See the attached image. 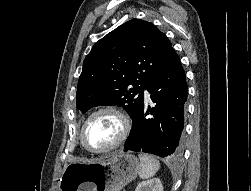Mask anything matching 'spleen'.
I'll return each instance as SVG.
<instances>
[{"label": "spleen", "instance_id": "spleen-1", "mask_svg": "<svg viewBox=\"0 0 251 191\" xmlns=\"http://www.w3.org/2000/svg\"><path fill=\"white\" fill-rule=\"evenodd\" d=\"M139 159V177H142V179H148V177L155 175L156 171H158L160 167L158 159L153 157V155H148V153H139Z\"/></svg>", "mask_w": 251, "mask_h": 191}]
</instances>
